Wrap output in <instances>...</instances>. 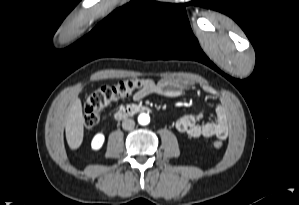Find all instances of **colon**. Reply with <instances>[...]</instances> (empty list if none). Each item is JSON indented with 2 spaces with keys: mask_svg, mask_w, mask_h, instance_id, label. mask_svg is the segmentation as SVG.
<instances>
[{
  "mask_svg": "<svg viewBox=\"0 0 299 205\" xmlns=\"http://www.w3.org/2000/svg\"><path fill=\"white\" fill-rule=\"evenodd\" d=\"M142 87V80L127 78L118 81L114 86H103L93 91L84 104V126L91 129L100 119V112L110 104L127 98ZM223 143L220 140L213 142V147L220 149Z\"/></svg>",
  "mask_w": 299,
  "mask_h": 205,
  "instance_id": "colon-1",
  "label": "colon"
}]
</instances>
